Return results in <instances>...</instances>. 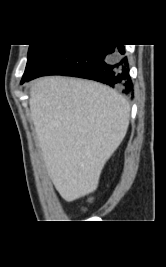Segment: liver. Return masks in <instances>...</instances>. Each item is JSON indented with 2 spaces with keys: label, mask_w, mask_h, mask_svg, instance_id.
I'll list each match as a JSON object with an SVG mask.
<instances>
[{
  "label": "liver",
  "mask_w": 166,
  "mask_h": 267,
  "mask_svg": "<svg viewBox=\"0 0 166 267\" xmlns=\"http://www.w3.org/2000/svg\"><path fill=\"white\" fill-rule=\"evenodd\" d=\"M30 111L48 174L68 202L94 192L124 139L130 105L93 81L44 77L30 89Z\"/></svg>",
  "instance_id": "6515ba94"
}]
</instances>
